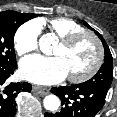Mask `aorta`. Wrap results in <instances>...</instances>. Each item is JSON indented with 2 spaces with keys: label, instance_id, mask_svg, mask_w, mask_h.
Returning a JSON list of instances; mask_svg holds the SVG:
<instances>
[{
  "label": "aorta",
  "instance_id": "obj_1",
  "mask_svg": "<svg viewBox=\"0 0 117 117\" xmlns=\"http://www.w3.org/2000/svg\"><path fill=\"white\" fill-rule=\"evenodd\" d=\"M53 38L50 34L43 35L39 40V46L42 52L47 53L51 47ZM44 108L49 111H56L60 107V99L56 95H48L43 101Z\"/></svg>",
  "mask_w": 117,
  "mask_h": 117
}]
</instances>
